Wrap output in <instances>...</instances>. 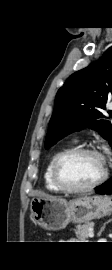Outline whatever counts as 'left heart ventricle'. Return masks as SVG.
<instances>
[{
    "instance_id": "obj_1",
    "label": "left heart ventricle",
    "mask_w": 112,
    "mask_h": 270,
    "mask_svg": "<svg viewBox=\"0 0 112 270\" xmlns=\"http://www.w3.org/2000/svg\"><path fill=\"white\" fill-rule=\"evenodd\" d=\"M104 163L94 154H80L63 162L62 175L72 186H86L96 181L102 174Z\"/></svg>"
}]
</instances>
